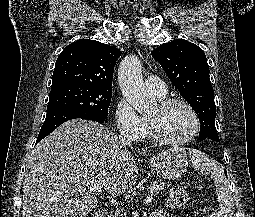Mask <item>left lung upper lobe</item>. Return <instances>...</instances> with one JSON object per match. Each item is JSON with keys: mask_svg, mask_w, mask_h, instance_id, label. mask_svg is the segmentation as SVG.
<instances>
[{"mask_svg": "<svg viewBox=\"0 0 255 217\" xmlns=\"http://www.w3.org/2000/svg\"><path fill=\"white\" fill-rule=\"evenodd\" d=\"M151 54L198 115L200 140L219 142L215 127L214 90L203 50L191 42L177 39L160 45Z\"/></svg>", "mask_w": 255, "mask_h": 217, "instance_id": "left-lung-upper-lobe-1", "label": "left lung upper lobe"}]
</instances>
